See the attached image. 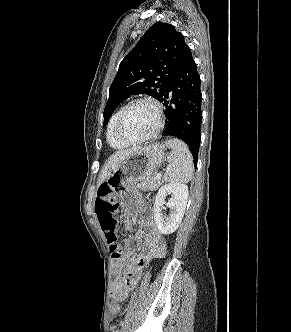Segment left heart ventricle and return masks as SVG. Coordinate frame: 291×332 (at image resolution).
Listing matches in <instances>:
<instances>
[{"instance_id":"left-heart-ventricle-1","label":"left heart ventricle","mask_w":291,"mask_h":332,"mask_svg":"<svg viewBox=\"0 0 291 332\" xmlns=\"http://www.w3.org/2000/svg\"><path fill=\"white\" fill-rule=\"evenodd\" d=\"M154 108L146 103L132 106L124 115L121 131L129 139H139L149 135L156 127Z\"/></svg>"}]
</instances>
